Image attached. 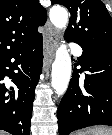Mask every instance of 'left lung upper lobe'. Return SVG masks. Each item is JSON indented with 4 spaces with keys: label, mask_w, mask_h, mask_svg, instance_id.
<instances>
[{
    "label": "left lung upper lobe",
    "mask_w": 112,
    "mask_h": 135,
    "mask_svg": "<svg viewBox=\"0 0 112 135\" xmlns=\"http://www.w3.org/2000/svg\"><path fill=\"white\" fill-rule=\"evenodd\" d=\"M70 12L65 37L89 51L112 54V19L101 0H51Z\"/></svg>",
    "instance_id": "1"
}]
</instances>
